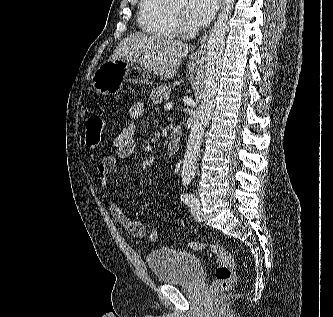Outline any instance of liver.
<instances>
[{
    "mask_svg": "<svg viewBox=\"0 0 333 317\" xmlns=\"http://www.w3.org/2000/svg\"><path fill=\"white\" fill-rule=\"evenodd\" d=\"M190 46L181 40L161 35L133 33L116 46L109 60L139 63L162 79L177 72Z\"/></svg>",
    "mask_w": 333,
    "mask_h": 317,
    "instance_id": "liver-1",
    "label": "liver"
}]
</instances>
